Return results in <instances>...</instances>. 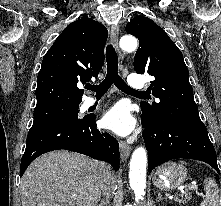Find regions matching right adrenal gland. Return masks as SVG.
<instances>
[{"label": "right adrenal gland", "instance_id": "obj_1", "mask_svg": "<svg viewBox=\"0 0 221 206\" xmlns=\"http://www.w3.org/2000/svg\"><path fill=\"white\" fill-rule=\"evenodd\" d=\"M109 204V199H102L100 204L98 206H108Z\"/></svg>", "mask_w": 221, "mask_h": 206}]
</instances>
